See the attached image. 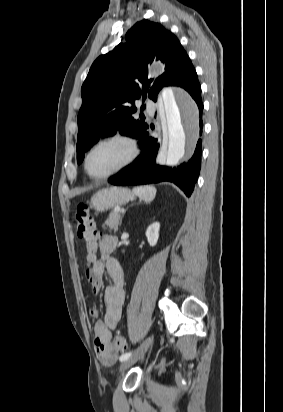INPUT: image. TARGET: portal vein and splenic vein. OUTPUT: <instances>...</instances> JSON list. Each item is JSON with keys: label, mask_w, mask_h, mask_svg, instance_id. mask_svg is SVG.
Wrapping results in <instances>:
<instances>
[{"label": "portal vein and splenic vein", "mask_w": 283, "mask_h": 412, "mask_svg": "<svg viewBox=\"0 0 283 412\" xmlns=\"http://www.w3.org/2000/svg\"><path fill=\"white\" fill-rule=\"evenodd\" d=\"M114 211H115V212H119V211H120V208H119V207H116V208L114 209Z\"/></svg>", "instance_id": "portal-vein-and-splenic-vein-1"}]
</instances>
